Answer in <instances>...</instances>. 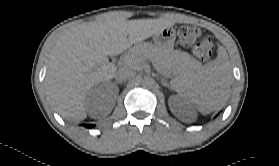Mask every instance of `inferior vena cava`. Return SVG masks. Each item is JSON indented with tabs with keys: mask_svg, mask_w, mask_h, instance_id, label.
Segmentation results:
<instances>
[{
	"mask_svg": "<svg viewBox=\"0 0 279 166\" xmlns=\"http://www.w3.org/2000/svg\"><path fill=\"white\" fill-rule=\"evenodd\" d=\"M134 75H135V71L133 69H130L128 67H123L117 72L115 78L118 82H122L133 77Z\"/></svg>",
	"mask_w": 279,
	"mask_h": 166,
	"instance_id": "602c4592",
	"label": "inferior vena cava"
}]
</instances>
